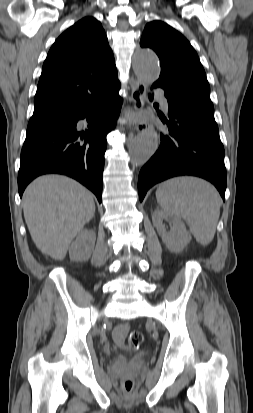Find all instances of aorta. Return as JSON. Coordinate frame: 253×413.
<instances>
[{
    "label": "aorta",
    "mask_w": 253,
    "mask_h": 413,
    "mask_svg": "<svg viewBox=\"0 0 253 413\" xmlns=\"http://www.w3.org/2000/svg\"><path fill=\"white\" fill-rule=\"evenodd\" d=\"M136 76L146 82H154L159 78L160 66L156 54L150 49H139L133 58ZM159 136L153 128H148L137 135L130 146V159L133 165H143L156 152Z\"/></svg>",
    "instance_id": "762f6f07"
}]
</instances>
